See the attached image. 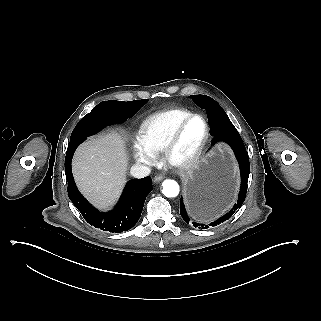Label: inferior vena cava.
<instances>
[{"instance_id": "obj_1", "label": "inferior vena cava", "mask_w": 321, "mask_h": 321, "mask_svg": "<svg viewBox=\"0 0 321 321\" xmlns=\"http://www.w3.org/2000/svg\"><path fill=\"white\" fill-rule=\"evenodd\" d=\"M151 170L149 167L135 164L131 167L130 174L135 178H143L150 174Z\"/></svg>"}]
</instances>
